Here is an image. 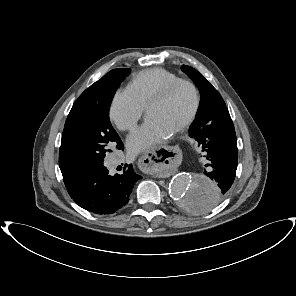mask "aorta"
Instances as JSON below:
<instances>
[{
	"label": "aorta",
	"instance_id": "762f6f07",
	"mask_svg": "<svg viewBox=\"0 0 296 296\" xmlns=\"http://www.w3.org/2000/svg\"><path fill=\"white\" fill-rule=\"evenodd\" d=\"M217 188V184L205 176L179 173L169 184V194L183 212L199 215L214 206Z\"/></svg>",
	"mask_w": 296,
	"mask_h": 296
}]
</instances>
